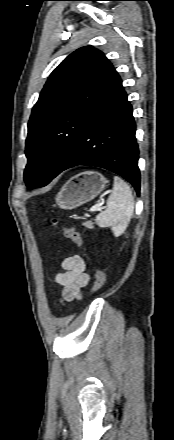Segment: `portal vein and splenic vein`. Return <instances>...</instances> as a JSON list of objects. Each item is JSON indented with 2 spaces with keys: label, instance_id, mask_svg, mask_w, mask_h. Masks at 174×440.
<instances>
[{
  "label": "portal vein and splenic vein",
  "instance_id": "obj_1",
  "mask_svg": "<svg viewBox=\"0 0 174 440\" xmlns=\"http://www.w3.org/2000/svg\"><path fill=\"white\" fill-rule=\"evenodd\" d=\"M103 208L100 205H95L90 209V212L101 211Z\"/></svg>",
  "mask_w": 174,
  "mask_h": 440
}]
</instances>
